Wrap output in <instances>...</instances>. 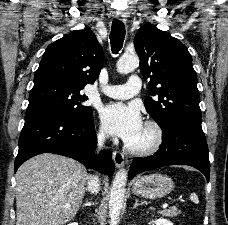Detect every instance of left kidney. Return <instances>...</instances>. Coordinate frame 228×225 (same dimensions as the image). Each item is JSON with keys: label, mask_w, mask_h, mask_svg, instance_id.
<instances>
[{"label": "left kidney", "mask_w": 228, "mask_h": 225, "mask_svg": "<svg viewBox=\"0 0 228 225\" xmlns=\"http://www.w3.org/2000/svg\"><path fill=\"white\" fill-rule=\"evenodd\" d=\"M155 225H173L171 221H167V219H156V221H152Z\"/></svg>", "instance_id": "obj_1"}]
</instances>
